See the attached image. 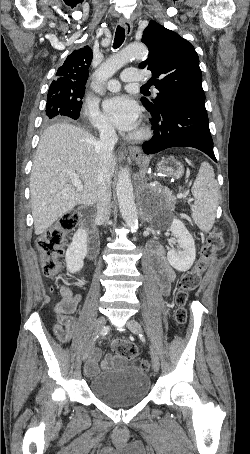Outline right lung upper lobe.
<instances>
[{
  "label": "right lung upper lobe",
  "instance_id": "obj_1",
  "mask_svg": "<svg viewBox=\"0 0 250 454\" xmlns=\"http://www.w3.org/2000/svg\"><path fill=\"white\" fill-rule=\"evenodd\" d=\"M92 57L93 53L89 46L74 50L66 58L63 65L58 68L56 73L58 78L53 80L49 91L70 94L71 96L82 90L85 91V84L89 75L88 68Z\"/></svg>",
  "mask_w": 250,
  "mask_h": 454
}]
</instances>
